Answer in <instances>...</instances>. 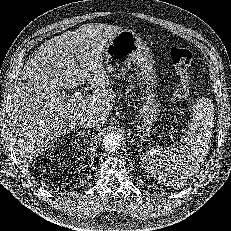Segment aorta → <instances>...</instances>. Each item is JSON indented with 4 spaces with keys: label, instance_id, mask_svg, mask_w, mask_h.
Wrapping results in <instances>:
<instances>
[{
    "label": "aorta",
    "instance_id": "aorta-1",
    "mask_svg": "<svg viewBox=\"0 0 231 231\" xmlns=\"http://www.w3.org/2000/svg\"><path fill=\"white\" fill-rule=\"evenodd\" d=\"M121 141V136L118 133H108L103 138L102 148L109 153L115 152L120 148Z\"/></svg>",
    "mask_w": 231,
    "mask_h": 231
}]
</instances>
